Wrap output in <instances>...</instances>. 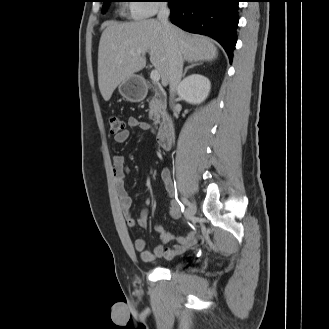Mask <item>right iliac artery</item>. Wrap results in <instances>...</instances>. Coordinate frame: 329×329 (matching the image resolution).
<instances>
[{
	"mask_svg": "<svg viewBox=\"0 0 329 329\" xmlns=\"http://www.w3.org/2000/svg\"><path fill=\"white\" fill-rule=\"evenodd\" d=\"M182 203L187 205V206L191 205V203L186 198H182Z\"/></svg>",
	"mask_w": 329,
	"mask_h": 329,
	"instance_id": "1",
	"label": "right iliac artery"
}]
</instances>
